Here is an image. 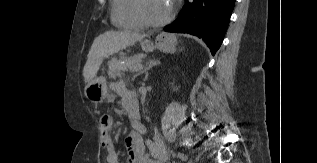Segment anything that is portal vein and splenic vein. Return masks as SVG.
<instances>
[{"label": "portal vein and splenic vein", "instance_id": "18ae733b", "mask_svg": "<svg viewBox=\"0 0 317 163\" xmlns=\"http://www.w3.org/2000/svg\"><path fill=\"white\" fill-rule=\"evenodd\" d=\"M140 68H142V65H141V64H138V65L134 66V68L132 69V71H137V70H139Z\"/></svg>", "mask_w": 317, "mask_h": 163}]
</instances>
